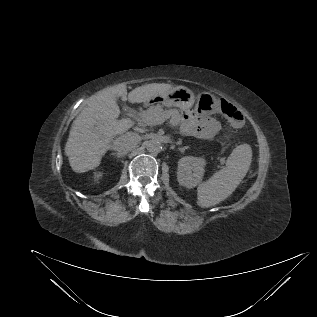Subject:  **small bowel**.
<instances>
[{
    "label": "small bowel",
    "mask_w": 317,
    "mask_h": 317,
    "mask_svg": "<svg viewBox=\"0 0 317 317\" xmlns=\"http://www.w3.org/2000/svg\"><path fill=\"white\" fill-rule=\"evenodd\" d=\"M175 123L179 124L182 132L191 137L207 139L220 130V122L213 116H202L199 120L189 116H176Z\"/></svg>",
    "instance_id": "c3829d8e"
}]
</instances>
